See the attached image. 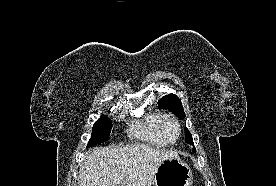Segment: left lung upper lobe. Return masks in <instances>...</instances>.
Segmentation results:
<instances>
[{"instance_id":"obj_1","label":"left lung upper lobe","mask_w":276,"mask_h":186,"mask_svg":"<svg viewBox=\"0 0 276 186\" xmlns=\"http://www.w3.org/2000/svg\"><path fill=\"white\" fill-rule=\"evenodd\" d=\"M159 106L172 111L179 118H185V113L180 99L175 94H169L162 97L159 101ZM186 143L194 145L193 138L188 129H186ZM194 149V148H193Z\"/></svg>"}]
</instances>
